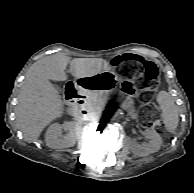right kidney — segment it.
<instances>
[{"mask_svg": "<svg viewBox=\"0 0 194 193\" xmlns=\"http://www.w3.org/2000/svg\"><path fill=\"white\" fill-rule=\"evenodd\" d=\"M63 131L67 134L62 135ZM77 140V127L73 122H65L62 125L52 124L46 131V145L53 149L72 147Z\"/></svg>", "mask_w": 194, "mask_h": 193, "instance_id": "obj_1", "label": "right kidney"}]
</instances>
